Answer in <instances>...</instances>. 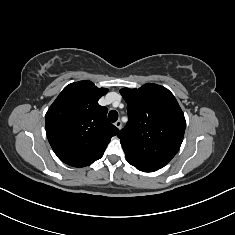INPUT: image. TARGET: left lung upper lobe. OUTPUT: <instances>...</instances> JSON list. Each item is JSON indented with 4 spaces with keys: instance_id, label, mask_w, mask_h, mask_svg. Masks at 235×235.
Returning <instances> with one entry per match:
<instances>
[{
    "instance_id": "obj_1",
    "label": "left lung upper lobe",
    "mask_w": 235,
    "mask_h": 235,
    "mask_svg": "<svg viewBox=\"0 0 235 235\" xmlns=\"http://www.w3.org/2000/svg\"><path fill=\"white\" fill-rule=\"evenodd\" d=\"M120 93L128 104L129 121L118 134L127 160L162 168L176 155L184 137L185 117L176 98L153 83Z\"/></svg>"
}]
</instances>
